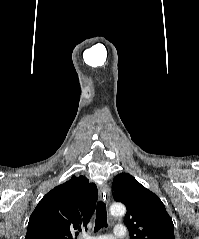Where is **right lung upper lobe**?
Here are the masks:
<instances>
[{"instance_id":"right-lung-upper-lobe-1","label":"right lung upper lobe","mask_w":199,"mask_h":239,"mask_svg":"<svg viewBox=\"0 0 199 239\" xmlns=\"http://www.w3.org/2000/svg\"><path fill=\"white\" fill-rule=\"evenodd\" d=\"M97 187L85 176H73L55 187L38 203L30 216L25 239H73L85 228L94 212Z\"/></svg>"}]
</instances>
